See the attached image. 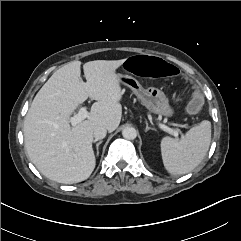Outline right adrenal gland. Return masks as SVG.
Masks as SVG:
<instances>
[{"label": "right adrenal gland", "instance_id": "2a0ac1e0", "mask_svg": "<svg viewBox=\"0 0 241 241\" xmlns=\"http://www.w3.org/2000/svg\"><path fill=\"white\" fill-rule=\"evenodd\" d=\"M102 143V141H99L96 143V155L99 156V146Z\"/></svg>", "mask_w": 241, "mask_h": 241}]
</instances>
